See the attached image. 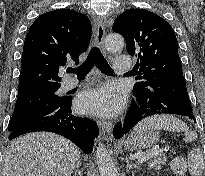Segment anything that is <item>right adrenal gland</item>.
Returning a JSON list of instances; mask_svg holds the SVG:
<instances>
[{
    "label": "right adrenal gland",
    "mask_w": 205,
    "mask_h": 176,
    "mask_svg": "<svg viewBox=\"0 0 205 176\" xmlns=\"http://www.w3.org/2000/svg\"><path fill=\"white\" fill-rule=\"evenodd\" d=\"M74 176H83V171L81 169L80 161H78L77 164H76V171L74 173Z\"/></svg>",
    "instance_id": "1"
}]
</instances>
